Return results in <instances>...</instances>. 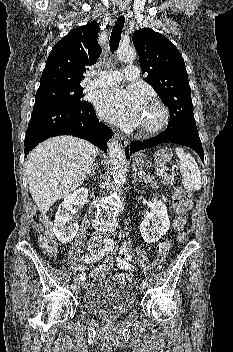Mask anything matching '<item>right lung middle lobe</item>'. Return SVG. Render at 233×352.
Masks as SVG:
<instances>
[{
	"label": "right lung middle lobe",
	"mask_w": 233,
	"mask_h": 352,
	"mask_svg": "<svg viewBox=\"0 0 233 352\" xmlns=\"http://www.w3.org/2000/svg\"><path fill=\"white\" fill-rule=\"evenodd\" d=\"M80 85L51 84L39 87L33 110L45 107H73L87 103Z\"/></svg>",
	"instance_id": "dd1d6c3e"
}]
</instances>
